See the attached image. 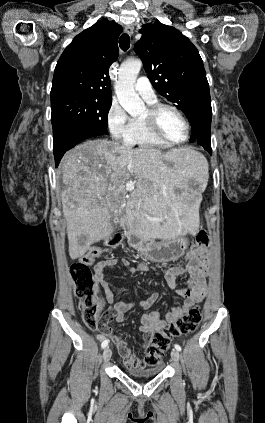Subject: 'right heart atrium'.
Instances as JSON below:
<instances>
[{"mask_svg": "<svg viewBox=\"0 0 265 423\" xmlns=\"http://www.w3.org/2000/svg\"><path fill=\"white\" fill-rule=\"evenodd\" d=\"M106 122L112 138L125 141L130 128L131 119L125 109L117 101L111 102L106 114Z\"/></svg>", "mask_w": 265, "mask_h": 423, "instance_id": "1", "label": "right heart atrium"}]
</instances>
